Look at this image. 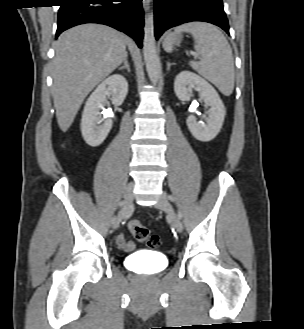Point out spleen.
Masks as SVG:
<instances>
[{"label": "spleen", "instance_id": "1", "mask_svg": "<svg viewBox=\"0 0 304 329\" xmlns=\"http://www.w3.org/2000/svg\"><path fill=\"white\" fill-rule=\"evenodd\" d=\"M180 32L192 34L194 49L202 57L199 62H190L192 68L213 83L222 94L231 95L235 81L234 61L231 47L222 32L205 22L180 25L166 36L163 43L166 52L173 51L174 36Z\"/></svg>", "mask_w": 304, "mask_h": 329}]
</instances>
